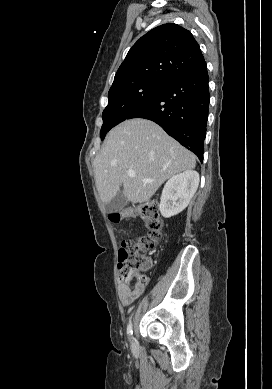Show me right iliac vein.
<instances>
[{
	"label": "right iliac vein",
	"instance_id": "obj_1",
	"mask_svg": "<svg viewBox=\"0 0 272 389\" xmlns=\"http://www.w3.org/2000/svg\"><path fill=\"white\" fill-rule=\"evenodd\" d=\"M131 347H132V348H135V347H136V343H135L134 340H132V342H131Z\"/></svg>",
	"mask_w": 272,
	"mask_h": 389
}]
</instances>
